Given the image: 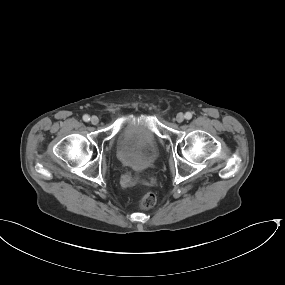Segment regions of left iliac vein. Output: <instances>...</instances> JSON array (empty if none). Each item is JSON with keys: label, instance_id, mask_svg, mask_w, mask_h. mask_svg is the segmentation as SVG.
Segmentation results:
<instances>
[{"label": "left iliac vein", "instance_id": "4c4485c4", "mask_svg": "<svg viewBox=\"0 0 285 285\" xmlns=\"http://www.w3.org/2000/svg\"><path fill=\"white\" fill-rule=\"evenodd\" d=\"M184 119H185V116H184L182 113H178V114L176 115V121H177L178 123L183 122Z\"/></svg>", "mask_w": 285, "mask_h": 285}]
</instances>
